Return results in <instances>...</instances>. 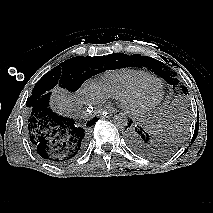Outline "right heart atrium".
I'll return each mask as SVG.
<instances>
[{
  "label": "right heart atrium",
  "instance_id": "right-heart-atrium-1",
  "mask_svg": "<svg viewBox=\"0 0 213 213\" xmlns=\"http://www.w3.org/2000/svg\"><path fill=\"white\" fill-rule=\"evenodd\" d=\"M83 94L85 98L92 102H101L104 97L100 94L95 84L87 83L83 88Z\"/></svg>",
  "mask_w": 213,
  "mask_h": 213
}]
</instances>
